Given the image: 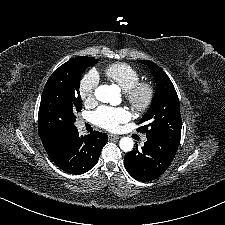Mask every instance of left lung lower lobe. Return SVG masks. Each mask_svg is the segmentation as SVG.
Returning a JSON list of instances; mask_svg holds the SVG:
<instances>
[{"mask_svg": "<svg viewBox=\"0 0 225 225\" xmlns=\"http://www.w3.org/2000/svg\"><path fill=\"white\" fill-rule=\"evenodd\" d=\"M177 149L178 144L167 139L148 138L142 150L136 146L125 155V168L138 181H152L166 171Z\"/></svg>", "mask_w": 225, "mask_h": 225, "instance_id": "left-lung-lower-lobe-1", "label": "left lung lower lobe"}]
</instances>
